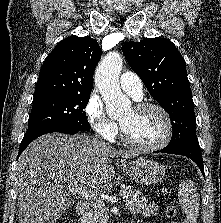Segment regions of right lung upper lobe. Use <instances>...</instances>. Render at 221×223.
Listing matches in <instances>:
<instances>
[{
	"label": "right lung upper lobe",
	"instance_id": "right-lung-upper-lobe-1",
	"mask_svg": "<svg viewBox=\"0 0 221 223\" xmlns=\"http://www.w3.org/2000/svg\"><path fill=\"white\" fill-rule=\"evenodd\" d=\"M100 57L97 41L89 36H70L60 41L44 61L34 99L91 93Z\"/></svg>",
	"mask_w": 221,
	"mask_h": 223
}]
</instances>
